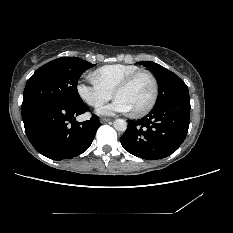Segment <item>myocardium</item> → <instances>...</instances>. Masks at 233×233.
<instances>
[{"label":"myocardium","instance_id":"obj_1","mask_svg":"<svg viewBox=\"0 0 233 233\" xmlns=\"http://www.w3.org/2000/svg\"><path fill=\"white\" fill-rule=\"evenodd\" d=\"M141 75H145L151 80L153 92H152V96H151L149 103L144 108L132 111L135 116H143V115L148 114L154 108V106L157 102L158 95H159V85H158V81H157V78L155 77V75L147 70L136 71V72L128 75L126 78H124L115 87V89L113 91V94L116 97L118 92H120L121 90L130 86L132 84V82Z\"/></svg>","mask_w":233,"mask_h":233}]
</instances>
